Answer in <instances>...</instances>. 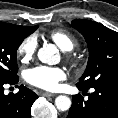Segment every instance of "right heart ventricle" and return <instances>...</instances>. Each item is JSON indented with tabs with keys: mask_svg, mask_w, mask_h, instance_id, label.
I'll return each mask as SVG.
<instances>
[{
	"mask_svg": "<svg viewBox=\"0 0 118 118\" xmlns=\"http://www.w3.org/2000/svg\"><path fill=\"white\" fill-rule=\"evenodd\" d=\"M48 37L63 51H71L76 45L75 38L63 29L52 30Z\"/></svg>",
	"mask_w": 118,
	"mask_h": 118,
	"instance_id": "right-heart-ventricle-1",
	"label": "right heart ventricle"
}]
</instances>
